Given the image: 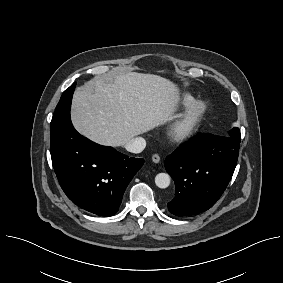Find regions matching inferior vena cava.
<instances>
[{
  "label": "inferior vena cava",
  "mask_w": 283,
  "mask_h": 283,
  "mask_svg": "<svg viewBox=\"0 0 283 283\" xmlns=\"http://www.w3.org/2000/svg\"><path fill=\"white\" fill-rule=\"evenodd\" d=\"M146 141L142 137H136L126 143L125 148L127 151L132 153H140L144 150Z\"/></svg>",
  "instance_id": "obj_1"
}]
</instances>
